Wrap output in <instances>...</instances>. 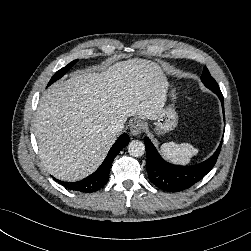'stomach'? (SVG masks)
Instances as JSON below:
<instances>
[{
    "label": "stomach",
    "mask_w": 251,
    "mask_h": 251,
    "mask_svg": "<svg viewBox=\"0 0 251 251\" xmlns=\"http://www.w3.org/2000/svg\"><path fill=\"white\" fill-rule=\"evenodd\" d=\"M169 95L173 103L163 108V110L161 111V113L158 115L157 119L154 122V125L156 127L155 130L159 134L173 131L178 124V115L174 108V101L176 99L175 90L171 89L169 91Z\"/></svg>",
    "instance_id": "1"
}]
</instances>
